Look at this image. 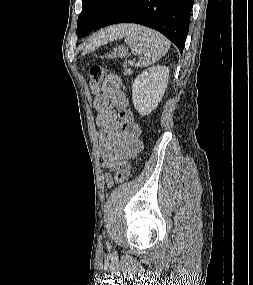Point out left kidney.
<instances>
[{
	"mask_svg": "<svg viewBox=\"0 0 253 285\" xmlns=\"http://www.w3.org/2000/svg\"><path fill=\"white\" fill-rule=\"evenodd\" d=\"M169 79V68L154 66L143 71L132 85L135 109L142 116L150 114L164 96Z\"/></svg>",
	"mask_w": 253,
	"mask_h": 285,
	"instance_id": "left-kidney-1",
	"label": "left kidney"
}]
</instances>
